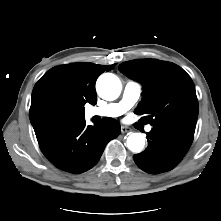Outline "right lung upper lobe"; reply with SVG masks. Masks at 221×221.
Masks as SVG:
<instances>
[{
  "instance_id": "right-lung-upper-lobe-1",
  "label": "right lung upper lobe",
  "mask_w": 221,
  "mask_h": 221,
  "mask_svg": "<svg viewBox=\"0 0 221 221\" xmlns=\"http://www.w3.org/2000/svg\"><path fill=\"white\" fill-rule=\"evenodd\" d=\"M89 62L56 66L47 71L35 84L29 111L37 138L55 126L84 118V105L97 103L95 82L105 70Z\"/></svg>"
}]
</instances>
